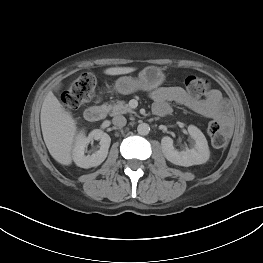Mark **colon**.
<instances>
[{
  "label": "colon",
  "mask_w": 263,
  "mask_h": 263,
  "mask_svg": "<svg viewBox=\"0 0 263 263\" xmlns=\"http://www.w3.org/2000/svg\"><path fill=\"white\" fill-rule=\"evenodd\" d=\"M95 87L96 80L93 75L85 73L77 77L62 93L64 108L68 111L78 110L93 97ZM185 87L190 96L201 98L208 93L210 85L205 78L191 75L185 79ZM208 134L213 147L221 149L227 145V134L218 121L208 124Z\"/></svg>",
  "instance_id": "obj_1"
}]
</instances>
